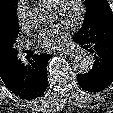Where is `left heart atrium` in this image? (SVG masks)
Returning <instances> with one entry per match:
<instances>
[{
    "label": "left heart atrium",
    "mask_w": 113,
    "mask_h": 113,
    "mask_svg": "<svg viewBox=\"0 0 113 113\" xmlns=\"http://www.w3.org/2000/svg\"><path fill=\"white\" fill-rule=\"evenodd\" d=\"M70 34V25L61 22L41 31L36 39L37 45L45 51L58 50L64 47L65 41Z\"/></svg>",
    "instance_id": "1"
}]
</instances>
